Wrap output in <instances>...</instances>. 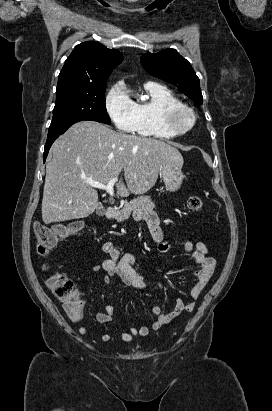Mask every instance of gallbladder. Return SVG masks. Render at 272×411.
<instances>
[{"label":"gallbladder","mask_w":272,"mask_h":411,"mask_svg":"<svg viewBox=\"0 0 272 411\" xmlns=\"http://www.w3.org/2000/svg\"><path fill=\"white\" fill-rule=\"evenodd\" d=\"M96 213L99 216H103L105 214V208L102 206V204H99L96 208Z\"/></svg>","instance_id":"gallbladder-1"}]
</instances>
